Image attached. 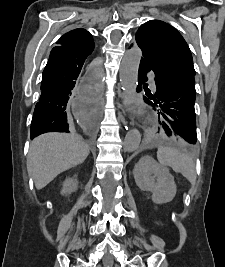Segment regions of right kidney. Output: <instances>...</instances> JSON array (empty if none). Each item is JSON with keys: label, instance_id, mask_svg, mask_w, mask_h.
Here are the masks:
<instances>
[{"label": "right kidney", "instance_id": "right-kidney-1", "mask_svg": "<svg viewBox=\"0 0 225 267\" xmlns=\"http://www.w3.org/2000/svg\"><path fill=\"white\" fill-rule=\"evenodd\" d=\"M77 187H78L77 180L73 178H68L63 183L61 194L63 195L71 194L72 192L77 190Z\"/></svg>", "mask_w": 225, "mask_h": 267}]
</instances>
